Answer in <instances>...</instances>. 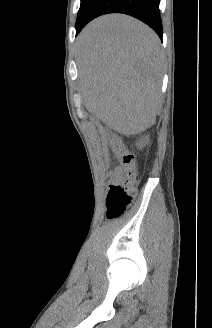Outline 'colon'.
I'll list each match as a JSON object with an SVG mask.
<instances>
[{
    "mask_svg": "<svg viewBox=\"0 0 212 328\" xmlns=\"http://www.w3.org/2000/svg\"><path fill=\"white\" fill-rule=\"evenodd\" d=\"M110 144L122 165L120 181L109 186L106 197V216L116 219L124 214L135 198L137 167L134 155L126 151L119 141L113 139Z\"/></svg>",
    "mask_w": 212,
    "mask_h": 328,
    "instance_id": "5ec220e1",
    "label": "colon"
}]
</instances>
